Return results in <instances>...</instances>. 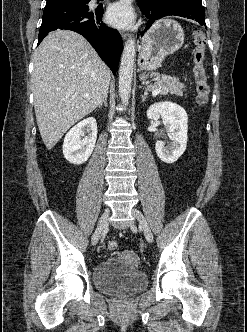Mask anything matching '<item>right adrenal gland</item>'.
<instances>
[{
    "label": "right adrenal gland",
    "instance_id": "2a0ac1e0",
    "mask_svg": "<svg viewBox=\"0 0 247 332\" xmlns=\"http://www.w3.org/2000/svg\"><path fill=\"white\" fill-rule=\"evenodd\" d=\"M107 98H108V95H106L103 99V101L99 104V107H101L103 104L107 107L108 106V103H107Z\"/></svg>",
    "mask_w": 247,
    "mask_h": 332
}]
</instances>
